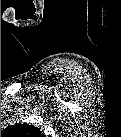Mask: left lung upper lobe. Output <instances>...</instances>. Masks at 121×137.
<instances>
[{
    "label": "left lung upper lobe",
    "mask_w": 121,
    "mask_h": 137,
    "mask_svg": "<svg viewBox=\"0 0 121 137\" xmlns=\"http://www.w3.org/2000/svg\"><path fill=\"white\" fill-rule=\"evenodd\" d=\"M3 134L9 136H32V137H40L41 131L35 126L28 125V124H15L12 126L7 127L2 131Z\"/></svg>",
    "instance_id": "1"
}]
</instances>
